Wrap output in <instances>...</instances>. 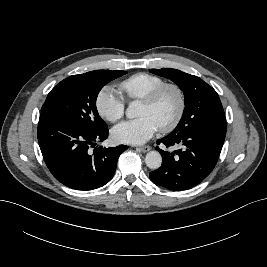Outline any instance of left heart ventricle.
Segmentation results:
<instances>
[{"label":"left heart ventricle","mask_w":267,"mask_h":267,"mask_svg":"<svg viewBox=\"0 0 267 267\" xmlns=\"http://www.w3.org/2000/svg\"><path fill=\"white\" fill-rule=\"evenodd\" d=\"M178 109V97L173 90H167L153 106L141 103L138 116L150 117L158 128L168 124L175 116Z\"/></svg>","instance_id":"1"}]
</instances>
